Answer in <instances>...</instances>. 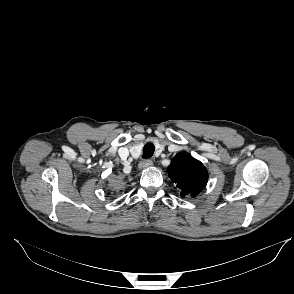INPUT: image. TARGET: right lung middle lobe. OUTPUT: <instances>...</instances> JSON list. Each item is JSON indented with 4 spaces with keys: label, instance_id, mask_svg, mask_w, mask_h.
<instances>
[{
    "label": "right lung middle lobe",
    "instance_id": "right-lung-middle-lobe-1",
    "mask_svg": "<svg viewBox=\"0 0 294 294\" xmlns=\"http://www.w3.org/2000/svg\"><path fill=\"white\" fill-rule=\"evenodd\" d=\"M109 188L114 190V191H117L118 188L120 187V183L118 181H115V180H110V183H109Z\"/></svg>",
    "mask_w": 294,
    "mask_h": 294
}]
</instances>
